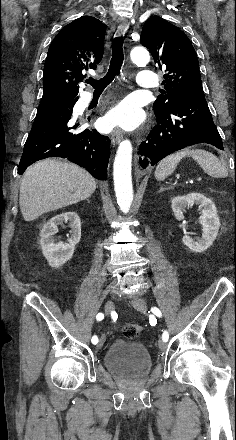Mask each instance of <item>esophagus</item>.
<instances>
[{
  "mask_svg": "<svg viewBox=\"0 0 236 440\" xmlns=\"http://www.w3.org/2000/svg\"><path fill=\"white\" fill-rule=\"evenodd\" d=\"M129 28V22L126 19H123L117 28L118 35L122 36L126 33ZM123 137V133L120 129H115L111 133V141L113 144H117L121 141Z\"/></svg>",
  "mask_w": 236,
  "mask_h": 440,
  "instance_id": "obj_1",
  "label": "esophagus"
}]
</instances>
